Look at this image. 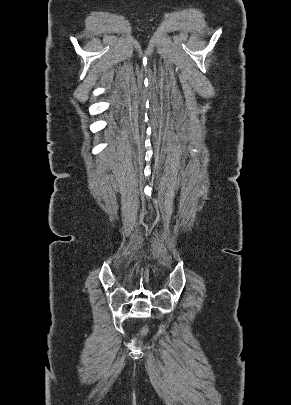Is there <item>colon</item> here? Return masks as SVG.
Masks as SVG:
<instances>
[{"label": "colon", "mask_w": 291, "mask_h": 405, "mask_svg": "<svg viewBox=\"0 0 291 405\" xmlns=\"http://www.w3.org/2000/svg\"><path fill=\"white\" fill-rule=\"evenodd\" d=\"M147 333H148V327H147V326H144V327L141 329V331H140V333H139V336H140V337H144V336L147 335Z\"/></svg>", "instance_id": "colon-1"}]
</instances>
